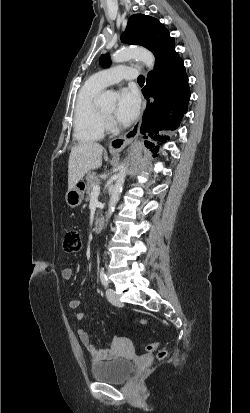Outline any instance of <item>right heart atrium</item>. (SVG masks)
Segmentation results:
<instances>
[{
    "instance_id": "1",
    "label": "right heart atrium",
    "mask_w": 250,
    "mask_h": 413,
    "mask_svg": "<svg viewBox=\"0 0 250 413\" xmlns=\"http://www.w3.org/2000/svg\"><path fill=\"white\" fill-rule=\"evenodd\" d=\"M106 127L108 129H113L115 127V122L111 117L106 119Z\"/></svg>"
}]
</instances>
